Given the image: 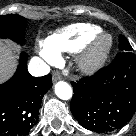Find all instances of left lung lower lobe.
I'll return each instance as SVG.
<instances>
[{
	"instance_id": "left-lung-lower-lobe-1",
	"label": "left lung lower lobe",
	"mask_w": 136,
	"mask_h": 136,
	"mask_svg": "<svg viewBox=\"0 0 136 136\" xmlns=\"http://www.w3.org/2000/svg\"><path fill=\"white\" fill-rule=\"evenodd\" d=\"M71 83L70 108L80 125L98 133L113 131L136 109V56L120 52L109 66Z\"/></svg>"
}]
</instances>
